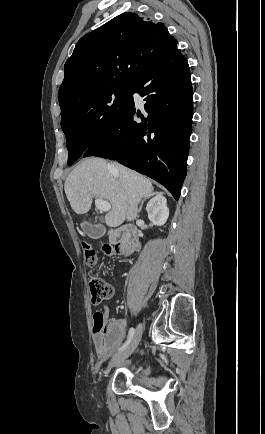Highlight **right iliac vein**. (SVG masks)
Instances as JSON below:
<instances>
[{
  "label": "right iliac vein",
  "mask_w": 265,
  "mask_h": 434,
  "mask_svg": "<svg viewBox=\"0 0 265 434\" xmlns=\"http://www.w3.org/2000/svg\"><path fill=\"white\" fill-rule=\"evenodd\" d=\"M141 338H142V325L139 324L135 329L134 336H133L132 341L129 344V346L127 348H125L124 350L120 351L119 353H117L112 358V360L109 363L108 368L106 370V374H108L110 372L111 367L113 366L115 361L128 358L136 350L138 344L141 341Z\"/></svg>",
  "instance_id": "1"
}]
</instances>
